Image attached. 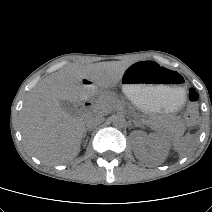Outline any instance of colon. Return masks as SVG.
I'll list each match as a JSON object with an SVG mask.
<instances>
[{"label": "colon", "instance_id": "5ec220e1", "mask_svg": "<svg viewBox=\"0 0 212 212\" xmlns=\"http://www.w3.org/2000/svg\"><path fill=\"white\" fill-rule=\"evenodd\" d=\"M186 101L187 106H186L185 118L189 125H194L199 117L198 94L194 89L192 88L187 89Z\"/></svg>", "mask_w": 212, "mask_h": 212}]
</instances>
